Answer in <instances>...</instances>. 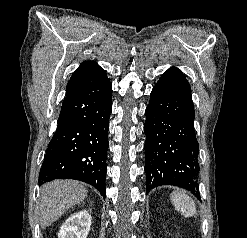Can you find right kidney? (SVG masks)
<instances>
[{
	"instance_id": "obj_1",
	"label": "right kidney",
	"mask_w": 247,
	"mask_h": 238,
	"mask_svg": "<svg viewBox=\"0 0 247 238\" xmlns=\"http://www.w3.org/2000/svg\"><path fill=\"white\" fill-rule=\"evenodd\" d=\"M91 220L86 210L74 213L61 226L58 238H87Z\"/></svg>"
}]
</instances>
